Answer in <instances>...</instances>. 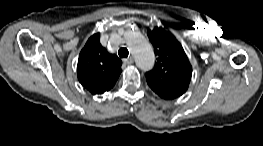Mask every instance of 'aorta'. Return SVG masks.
<instances>
[{
  "label": "aorta",
  "instance_id": "762f6f07",
  "mask_svg": "<svg viewBox=\"0 0 263 146\" xmlns=\"http://www.w3.org/2000/svg\"><path fill=\"white\" fill-rule=\"evenodd\" d=\"M126 41L137 66L142 70L151 69L154 65L155 56L148 40L136 31H129L126 35Z\"/></svg>",
  "mask_w": 263,
  "mask_h": 146
}]
</instances>
